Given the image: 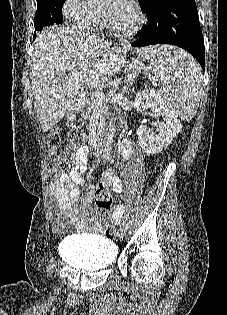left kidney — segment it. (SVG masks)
<instances>
[{"mask_svg": "<svg viewBox=\"0 0 227 315\" xmlns=\"http://www.w3.org/2000/svg\"><path fill=\"white\" fill-rule=\"evenodd\" d=\"M134 107L140 113H145L150 108L153 115L162 117V121L157 123L158 134H154L145 125L140 126L137 130L139 144L147 154L161 152L182 129V124L175 112L154 89H146L138 92L135 97Z\"/></svg>", "mask_w": 227, "mask_h": 315, "instance_id": "obj_1", "label": "left kidney"}]
</instances>
